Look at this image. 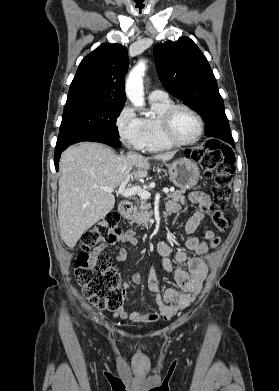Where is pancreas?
I'll use <instances>...</instances> for the list:
<instances>
[{"label":"pancreas","mask_w":279,"mask_h":391,"mask_svg":"<svg viewBox=\"0 0 279 391\" xmlns=\"http://www.w3.org/2000/svg\"><path fill=\"white\" fill-rule=\"evenodd\" d=\"M168 198L172 199L173 201H180L181 203H185V197L183 196V192L176 190L172 193L168 194ZM151 204L148 203L147 200L141 199L140 204L134 208L133 215L130 218L132 225L133 223H136L138 225H143L145 227L148 226L149 220L153 216V212L150 211Z\"/></svg>","instance_id":"1"}]
</instances>
